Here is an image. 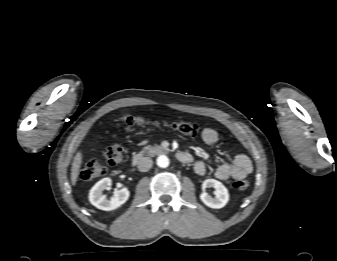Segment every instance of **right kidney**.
Returning <instances> with one entry per match:
<instances>
[{"mask_svg":"<svg viewBox=\"0 0 337 261\" xmlns=\"http://www.w3.org/2000/svg\"><path fill=\"white\" fill-rule=\"evenodd\" d=\"M112 185L110 178H103L97 182L90 190L89 201L98 209L110 211L120 207L129 198V191L127 188H122L115 191V194L110 199L103 194L105 189H109Z\"/></svg>","mask_w":337,"mask_h":261,"instance_id":"ca27d5eb","label":"right kidney"}]
</instances>
